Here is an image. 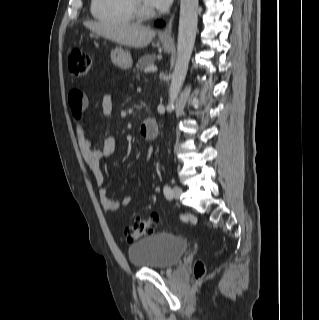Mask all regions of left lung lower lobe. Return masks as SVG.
<instances>
[{
    "label": "left lung lower lobe",
    "mask_w": 319,
    "mask_h": 320,
    "mask_svg": "<svg viewBox=\"0 0 319 320\" xmlns=\"http://www.w3.org/2000/svg\"><path fill=\"white\" fill-rule=\"evenodd\" d=\"M155 24L158 25V26H162V25H164V22L163 21H157Z\"/></svg>",
    "instance_id": "left-lung-lower-lobe-1"
}]
</instances>
